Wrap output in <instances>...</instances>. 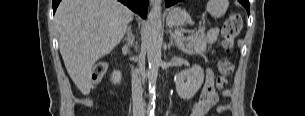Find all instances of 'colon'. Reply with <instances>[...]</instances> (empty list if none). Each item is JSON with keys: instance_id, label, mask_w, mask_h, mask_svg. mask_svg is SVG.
I'll list each match as a JSON object with an SVG mask.
<instances>
[{"instance_id": "obj_1", "label": "colon", "mask_w": 305, "mask_h": 116, "mask_svg": "<svg viewBox=\"0 0 305 116\" xmlns=\"http://www.w3.org/2000/svg\"><path fill=\"white\" fill-rule=\"evenodd\" d=\"M242 27V17L239 13H231L225 20L222 27L223 47L230 53L234 48V41ZM108 65L99 62L94 65L91 73L93 83H98L107 73ZM234 65L230 57L224 56L218 61V76L216 87L224 89L228 85V77L232 74Z\"/></svg>"}]
</instances>
